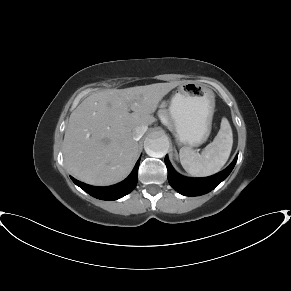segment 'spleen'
I'll return each instance as SVG.
<instances>
[{"instance_id": "1", "label": "spleen", "mask_w": 291, "mask_h": 291, "mask_svg": "<svg viewBox=\"0 0 291 291\" xmlns=\"http://www.w3.org/2000/svg\"><path fill=\"white\" fill-rule=\"evenodd\" d=\"M233 145L232 129L227 118H222L220 130L213 142L208 144L202 153L189 147H182L179 157L182 167L195 177H206L221 170L227 162Z\"/></svg>"}]
</instances>
